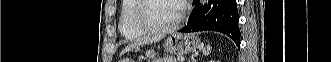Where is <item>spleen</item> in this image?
Returning a JSON list of instances; mask_svg holds the SVG:
<instances>
[{
  "instance_id": "spleen-1",
  "label": "spleen",
  "mask_w": 331,
  "mask_h": 62,
  "mask_svg": "<svg viewBox=\"0 0 331 62\" xmlns=\"http://www.w3.org/2000/svg\"><path fill=\"white\" fill-rule=\"evenodd\" d=\"M210 51H211V48H210V46L208 45L207 47H205L204 49H203V54L205 55V56H207V55H209V53H210Z\"/></svg>"
}]
</instances>
